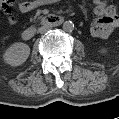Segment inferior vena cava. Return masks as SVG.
<instances>
[{
    "label": "inferior vena cava",
    "instance_id": "1",
    "mask_svg": "<svg viewBox=\"0 0 119 119\" xmlns=\"http://www.w3.org/2000/svg\"><path fill=\"white\" fill-rule=\"evenodd\" d=\"M50 29H51L50 26H42V27L39 28L38 31H39V33L43 34V33L47 32Z\"/></svg>",
    "mask_w": 119,
    "mask_h": 119
}]
</instances>
